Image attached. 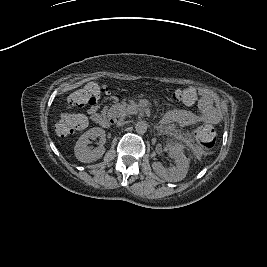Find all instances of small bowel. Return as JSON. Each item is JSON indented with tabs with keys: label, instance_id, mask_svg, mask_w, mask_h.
I'll use <instances>...</instances> for the list:
<instances>
[{
	"label": "small bowel",
	"instance_id": "obj_1",
	"mask_svg": "<svg viewBox=\"0 0 267 267\" xmlns=\"http://www.w3.org/2000/svg\"><path fill=\"white\" fill-rule=\"evenodd\" d=\"M190 92V100L188 101V106L194 104V102L197 99V95L201 97V101L199 103L202 115L200 117V120L207 123L212 124L214 123L217 118V112L212 107V94L209 91L206 90H195V89H189ZM89 114L92 115V120L99 123L100 125L103 124V121L98 119V116L95 114L96 109L94 106L89 107L88 111ZM166 121H174L178 122L181 125H190L194 123L195 118L191 115L184 114V113H173L169 114L165 117Z\"/></svg>",
	"mask_w": 267,
	"mask_h": 267
}]
</instances>
